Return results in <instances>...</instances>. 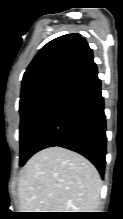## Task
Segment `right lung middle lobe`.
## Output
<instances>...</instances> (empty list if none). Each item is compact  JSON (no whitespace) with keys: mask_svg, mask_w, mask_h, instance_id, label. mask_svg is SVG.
Returning <instances> with one entry per match:
<instances>
[{"mask_svg":"<svg viewBox=\"0 0 123 219\" xmlns=\"http://www.w3.org/2000/svg\"><path fill=\"white\" fill-rule=\"evenodd\" d=\"M69 80H54L34 87L20 97V166L33 155V145L45 120Z\"/></svg>","mask_w":123,"mask_h":219,"instance_id":"obj_1","label":"right lung middle lobe"}]
</instances>
